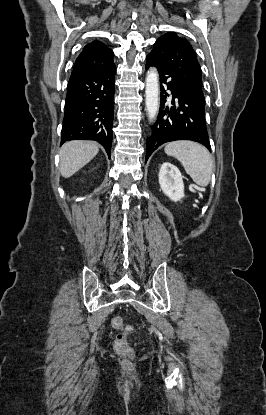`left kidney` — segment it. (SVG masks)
I'll return each mask as SVG.
<instances>
[{
	"instance_id": "left-kidney-1",
	"label": "left kidney",
	"mask_w": 266,
	"mask_h": 415,
	"mask_svg": "<svg viewBox=\"0 0 266 415\" xmlns=\"http://www.w3.org/2000/svg\"><path fill=\"white\" fill-rule=\"evenodd\" d=\"M159 184L163 193L177 202L184 197V183L181 172L171 163L165 162L159 171Z\"/></svg>"
}]
</instances>
